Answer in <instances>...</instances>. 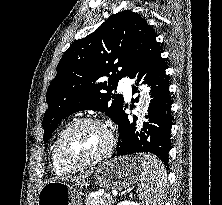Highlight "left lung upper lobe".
Listing matches in <instances>:
<instances>
[{
    "label": "left lung upper lobe",
    "instance_id": "left-lung-upper-lobe-1",
    "mask_svg": "<svg viewBox=\"0 0 222 205\" xmlns=\"http://www.w3.org/2000/svg\"><path fill=\"white\" fill-rule=\"evenodd\" d=\"M152 33L145 19L125 10L71 44L47 90L48 109L42 123L44 142L63 118L77 111H102L116 123L124 100L111 91L128 75ZM104 76L108 81L100 82Z\"/></svg>",
    "mask_w": 222,
    "mask_h": 205
}]
</instances>
